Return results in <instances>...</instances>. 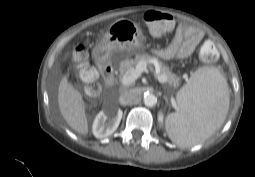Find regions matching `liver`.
I'll list each match as a JSON object with an SVG mask.
<instances>
[{"label":"liver","mask_w":255,"mask_h":177,"mask_svg":"<svg viewBox=\"0 0 255 177\" xmlns=\"http://www.w3.org/2000/svg\"><path fill=\"white\" fill-rule=\"evenodd\" d=\"M58 106L67 124L80 134L88 133L85 104L81 93L64 76L58 88Z\"/></svg>","instance_id":"obj_1"}]
</instances>
